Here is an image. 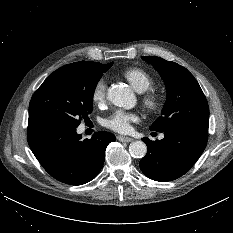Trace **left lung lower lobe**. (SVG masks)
I'll list each match as a JSON object with an SVG mask.
<instances>
[{
  "instance_id": "left-lung-lower-lobe-1",
  "label": "left lung lower lobe",
  "mask_w": 233,
  "mask_h": 233,
  "mask_svg": "<svg viewBox=\"0 0 233 233\" xmlns=\"http://www.w3.org/2000/svg\"><path fill=\"white\" fill-rule=\"evenodd\" d=\"M162 140H142L148 151L140 161L142 172L152 180L165 182L184 175L204 151L208 125L183 124L166 131Z\"/></svg>"
}]
</instances>
